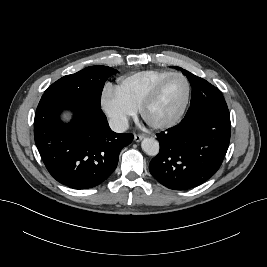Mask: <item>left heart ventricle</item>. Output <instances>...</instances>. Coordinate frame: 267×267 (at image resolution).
<instances>
[{
  "mask_svg": "<svg viewBox=\"0 0 267 267\" xmlns=\"http://www.w3.org/2000/svg\"><path fill=\"white\" fill-rule=\"evenodd\" d=\"M186 95V84L176 77L169 80L161 90L157 100L147 111L150 122H163L171 119L180 110Z\"/></svg>",
  "mask_w": 267,
  "mask_h": 267,
  "instance_id": "left-heart-ventricle-1",
  "label": "left heart ventricle"
}]
</instances>
